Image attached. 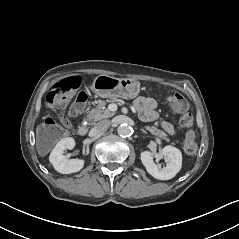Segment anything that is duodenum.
Returning a JSON list of instances; mask_svg holds the SVG:
<instances>
[{
    "instance_id": "410a0bca",
    "label": "duodenum",
    "mask_w": 239,
    "mask_h": 239,
    "mask_svg": "<svg viewBox=\"0 0 239 239\" xmlns=\"http://www.w3.org/2000/svg\"><path fill=\"white\" fill-rule=\"evenodd\" d=\"M88 133V127L87 125H81L79 128H78V134L80 136H84Z\"/></svg>"
}]
</instances>
